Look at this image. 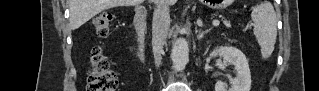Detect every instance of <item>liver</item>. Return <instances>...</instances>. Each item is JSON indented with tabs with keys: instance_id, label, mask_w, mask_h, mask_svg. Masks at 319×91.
<instances>
[{
	"instance_id": "1",
	"label": "liver",
	"mask_w": 319,
	"mask_h": 91,
	"mask_svg": "<svg viewBox=\"0 0 319 91\" xmlns=\"http://www.w3.org/2000/svg\"><path fill=\"white\" fill-rule=\"evenodd\" d=\"M165 1L168 5H173L177 0ZM142 2H144V0H70L71 28L73 30L78 29L104 10L118 6H134Z\"/></svg>"
}]
</instances>
